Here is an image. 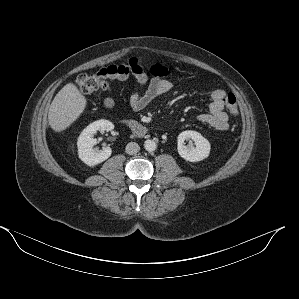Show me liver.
Segmentation results:
<instances>
[{"mask_svg": "<svg viewBox=\"0 0 299 299\" xmlns=\"http://www.w3.org/2000/svg\"><path fill=\"white\" fill-rule=\"evenodd\" d=\"M87 105L85 96L73 83L66 84L54 97L48 112L50 127L62 132L70 127L84 112Z\"/></svg>", "mask_w": 299, "mask_h": 299, "instance_id": "1", "label": "liver"}]
</instances>
